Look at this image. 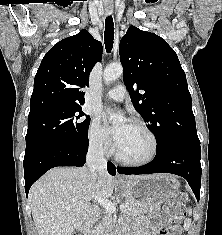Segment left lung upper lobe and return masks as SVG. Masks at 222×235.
<instances>
[{"mask_svg": "<svg viewBox=\"0 0 222 235\" xmlns=\"http://www.w3.org/2000/svg\"><path fill=\"white\" fill-rule=\"evenodd\" d=\"M119 54L124 83L154 133L157 149L179 140L200 143L185 72L165 40L130 26Z\"/></svg>", "mask_w": 222, "mask_h": 235, "instance_id": "left-lung-upper-lobe-1", "label": "left lung upper lobe"}]
</instances>
